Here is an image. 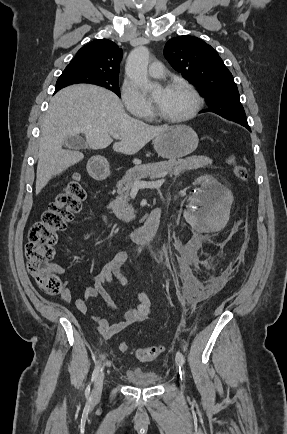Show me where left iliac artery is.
<instances>
[{
    "instance_id": "left-iliac-artery-1",
    "label": "left iliac artery",
    "mask_w": 287,
    "mask_h": 434,
    "mask_svg": "<svg viewBox=\"0 0 287 434\" xmlns=\"http://www.w3.org/2000/svg\"><path fill=\"white\" fill-rule=\"evenodd\" d=\"M176 359H177L176 361H177L178 366H179V371L181 372V368H183V365L185 364V358H184L183 354L178 351L176 354Z\"/></svg>"
}]
</instances>
